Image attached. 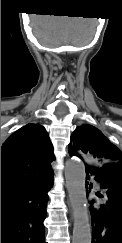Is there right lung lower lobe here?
<instances>
[{
  "label": "right lung lower lobe",
  "instance_id": "98d812e1",
  "mask_svg": "<svg viewBox=\"0 0 122 243\" xmlns=\"http://www.w3.org/2000/svg\"><path fill=\"white\" fill-rule=\"evenodd\" d=\"M52 185L53 172L1 193V243H46L44 220Z\"/></svg>",
  "mask_w": 122,
  "mask_h": 243
}]
</instances>
